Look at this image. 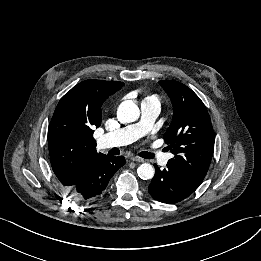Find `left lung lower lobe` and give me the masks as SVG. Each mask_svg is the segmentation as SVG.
<instances>
[{
  "label": "left lung lower lobe",
  "instance_id": "left-lung-lower-lobe-1",
  "mask_svg": "<svg viewBox=\"0 0 261 261\" xmlns=\"http://www.w3.org/2000/svg\"><path fill=\"white\" fill-rule=\"evenodd\" d=\"M155 175L149 185L148 192L157 201L174 204L190 196L196 188L189 185L171 166L160 170L156 164Z\"/></svg>",
  "mask_w": 261,
  "mask_h": 261
}]
</instances>
